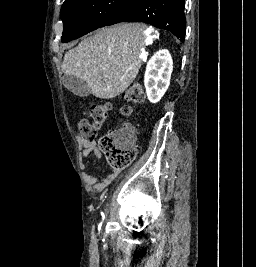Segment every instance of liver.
Segmentation results:
<instances>
[{"mask_svg": "<svg viewBox=\"0 0 256 267\" xmlns=\"http://www.w3.org/2000/svg\"><path fill=\"white\" fill-rule=\"evenodd\" d=\"M146 28L145 24H115L97 30L95 36L66 52L63 74L87 82L96 98H116L141 68Z\"/></svg>", "mask_w": 256, "mask_h": 267, "instance_id": "6515ba94", "label": "liver"}]
</instances>
